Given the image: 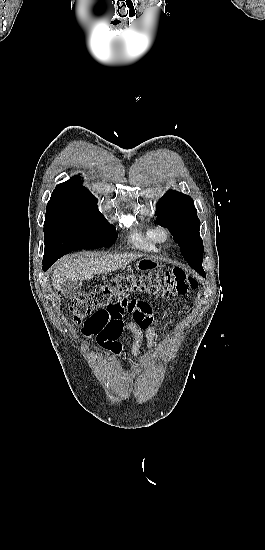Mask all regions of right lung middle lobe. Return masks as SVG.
<instances>
[{
	"instance_id": "dd1d6c3e",
	"label": "right lung middle lobe",
	"mask_w": 265,
	"mask_h": 550,
	"mask_svg": "<svg viewBox=\"0 0 265 550\" xmlns=\"http://www.w3.org/2000/svg\"><path fill=\"white\" fill-rule=\"evenodd\" d=\"M43 261L54 263L74 250L110 247L117 234L99 212L97 199L48 202L44 222Z\"/></svg>"
}]
</instances>
